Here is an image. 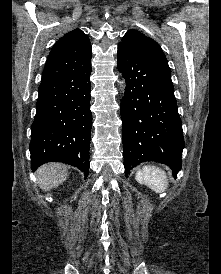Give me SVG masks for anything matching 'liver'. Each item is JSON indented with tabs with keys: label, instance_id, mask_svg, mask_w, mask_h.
<instances>
[{
	"label": "liver",
	"instance_id": "1",
	"mask_svg": "<svg viewBox=\"0 0 221 274\" xmlns=\"http://www.w3.org/2000/svg\"><path fill=\"white\" fill-rule=\"evenodd\" d=\"M39 187L49 191L62 184L68 177L67 168L60 163H48L36 171Z\"/></svg>",
	"mask_w": 221,
	"mask_h": 274
}]
</instances>
